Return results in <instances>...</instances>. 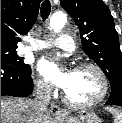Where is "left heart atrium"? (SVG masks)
<instances>
[{"mask_svg": "<svg viewBox=\"0 0 122 123\" xmlns=\"http://www.w3.org/2000/svg\"><path fill=\"white\" fill-rule=\"evenodd\" d=\"M38 70L44 79L61 89H65L71 80L72 71L64 69L55 58L44 57L38 63Z\"/></svg>", "mask_w": 122, "mask_h": 123, "instance_id": "1", "label": "left heart atrium"}]
</instances>
